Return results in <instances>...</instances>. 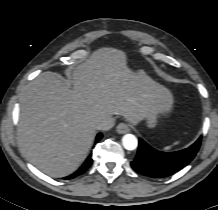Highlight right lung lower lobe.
<instances>
[{"instance_id": "right-lung-lower-lobe-1", "label": "right lung lower lobe", "mask_w": 218, "mask_h": 210, "mask_svg": "<svg viewBox=\"0 0 218 210\" xmlns=\"http://www.w3.org/2000/svg\"><path fill=\"white\" fill-rule=\"evenodd\" d=\"M101 138H102V134L99 133L96 137V142H98ZM92 162H93V160L91 158V155H89V157L86 159V161L83 163V165L75 173H73L72 175H70L68 177H65V179H72V178H75L79 175H82L91 166Z\"/></svg>"}]
</instances>
